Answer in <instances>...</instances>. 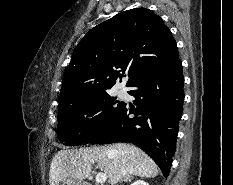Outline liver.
<instances>
[{
    "label": "liver",
    "mask_w": 233,
    "mask_h": 185,
    "mask_svg": "<svg viewBox=\"0 0 233 185\" xmlns=\"http://www.w3.org/2000/svg\"><path fill=\"white\" fill-rule=\"evenodd\" d=\"M94 163L111 185L126 175L153 178L158 174L156 163L141 149L132 144L116 143L58 151L51 162L49 184L59 185L67 178L83 181L90 175Z\"/></svg>",
    "instance_id": "1"
}]
</instances>
